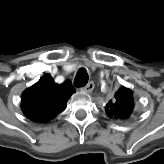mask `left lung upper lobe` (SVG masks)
<instances>
[{
    "label": "left lung upper lobe",
    "instance_id": "left-lung-upper-lobe-1",
    "mask_svg": "<svg viewBox=\"0 0 164 164\" xmlns=\"http://www.w3.org/2000/svg\"><path fill=\"white\" fill-rule=\"evenodd\" d=\"M134 108L132 91L122 87L115 94L114 99L106 104V113L110 118L127 119Z\"/></svg>",
    "mask_w": 164,
    "mask_h": 164
}]
</instances>
